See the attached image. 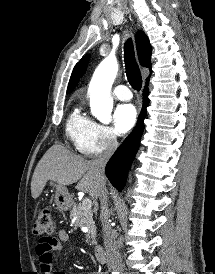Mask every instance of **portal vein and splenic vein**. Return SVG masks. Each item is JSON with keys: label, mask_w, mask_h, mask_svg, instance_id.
I'll list each match as a JSON object with an SVG mask.
<instances>
[{"label": "portal vein and splenic vein", "mask_w": 215, "mask_h": 274, "mask_svg": "<svg viewBox=\"0 0 215 274\" xmlns=\"http://www.w3.org/2000/svg\"><path fill=\"white\" fill-rule=\"evenodd\" d=\"M82 207L84 210H91L92 208V202L89 198H84L82 200Z\"/></svg>", "instance_id": "obj_1"}]
</instances>
